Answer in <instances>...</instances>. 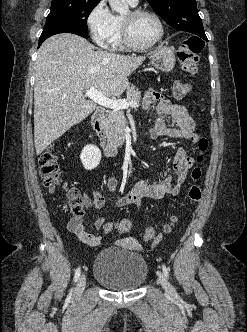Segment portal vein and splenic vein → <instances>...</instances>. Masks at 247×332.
<instances>
[{
	"instance_id": "obj_1",
	"label": "portal vein and splenic vein",
	"mask_w": 247,
	"mask_h": 332,
	"mask_svg": "<svg viewBox=\"0 0 247 332\" xmlns=\"http://www.w3.org/2000/svg\"><path fill=\"white\" fill-rule=\"evenodd\" d=\"M85 95L89 97L95 103L104 106L106 108H111L115 110L127 109L129 107L136 108L138 103L136 101H126L123 99L108 98L102 93H100L94 87H90L85 91Z\"/></svg>"
}]
</instances>
